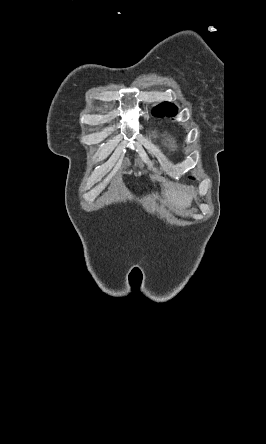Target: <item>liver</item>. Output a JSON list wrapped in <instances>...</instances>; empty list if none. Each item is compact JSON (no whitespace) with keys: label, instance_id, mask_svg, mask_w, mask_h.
Listing matches in <instances>:
<instances>
[{"label":"liver","instance_id":"obj_1","mask_svg":"<svg viewBox=\"0 0 266 444\" xmlns=\"http://www.w3.org/2000/svg\"><path fill=\"white\" fill-rule=\"evenodd\" d=\"M166 201L172 206L178 208L187 207L190 197L185 193L175 190V189H166L165 190Z\"/></svg>","mask_w":266,"mask_h":444}]
</instances>
